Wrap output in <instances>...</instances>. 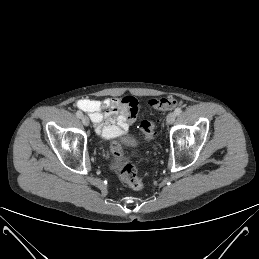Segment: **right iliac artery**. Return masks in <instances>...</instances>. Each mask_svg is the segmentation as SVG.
<instances>
[{
	"mask_svg": "<svg viewBox=\"0 0 259 259\" xmlns=\"http://www.w3.org/2000/svg\"><path fill=\"white\" fill-rule=\"evenodd\" d=\"M76 116H77L78 118H82L83 114H82L81 111H77V112H76Z\"/></svg>",
	"mask_w": 259,
	"mask_h": 259,
	"instance_id": "82829eb1",
	"label": "right iliac artery"
}]
</instances>
